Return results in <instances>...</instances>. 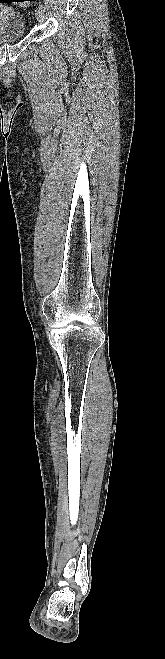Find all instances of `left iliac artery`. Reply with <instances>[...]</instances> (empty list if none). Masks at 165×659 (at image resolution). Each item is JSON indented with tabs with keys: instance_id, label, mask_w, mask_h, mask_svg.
I'll return each instance as SVG.
<instances>
[{
	"instance_id": "left-iliac-artery-1",
	"label": "left iliac artery",
	"mask_w": 165,
	"mask_h": 659,
	"mask_svg": "<svg viewBox=\"0 0 165 659\" xmlns=\"http://www.w3.org/2000/svg\"><path fill=\"white\" fill-rule=\"evenodd\" d=\"M39 8L45 11V6L43 4H39Z\"/></svg>"
}]
</instances>
